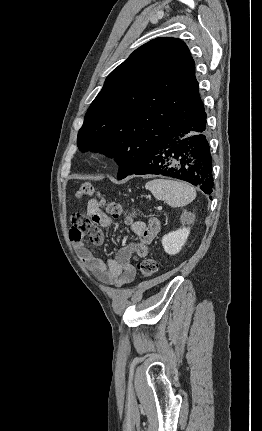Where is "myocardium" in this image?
<instances>
[{"instance_id": "myocardium-1", "label": "myocardium", "mask_w": 262, "mask_h": 431, "mask_svg": "<svg viewBox=\"0 0 262 431\" xmlns=\"http://www.w3.org/2000/svg\"><path fill=\"white\" fill-rule=\"evenodd\" d=\"M104 157V153L103 151L99 150V149H95L92 150L89 153V158L93 161V162H99L100 160H102Z\"/></svg>"}]
</instances>
